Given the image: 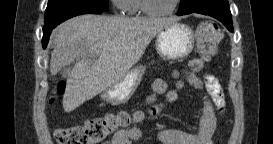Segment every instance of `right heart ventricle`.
<instances>
[{"instance_id": "right-heart-ventricle-1", "label": "right heart ventricle", "mask_w": 273, "mask_h": 144, "mask_svg": "<svg viewBox=\"0 0 273 144\" xmlns=\"http://www.w3.org/2000/svg\"><path fill=\"white\" fill-rule=\"evenodd\" d=\"M141 0H127L125 3V11L128 14H135L140 10Z\"/></svg>"}]
</instances>
